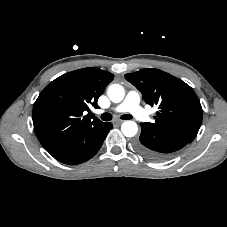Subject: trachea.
<instances>
[{
	"mask_svg": "<svg viewBox=\"0 0 227 227\" xmlns=\"http://www.w3.org/2000/svg\"><path fill=\"white\" fill-rule=\"evenodd\" d=\"M103 121H110L112 119V115L110 113H103L100 117ZM121 119L123 120H130L132 119V116L129 114H124L121 116Z\"/></svg>",
	"mask_w": 227,
	"mask_h": 227,
	"instance_id": "trachea-1",
	"label": "trachea"
}]
</instances>
